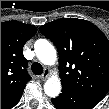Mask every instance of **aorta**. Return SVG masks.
Returning <instances> with one entry per match:
<instances>
[{
	"mask_svg": "<svg viewBox=\"0 0 109 109\" xmlns=\"http://www.w3.org/2000/svg\"><path fill=\"white\" fill-rule=\"evenodd\" d=\"M38 59L45 65H54L57 54L54 46L45 39H39L34 45ZM44 92L49 97L55 98L61 92V82L57 76L50 77L44 84Z\"/></svg>",
	"mask_w": 109,
	"mask_h": 109,
	"instance_id": "1",
	"label": "aorta"
}]
</instances>
